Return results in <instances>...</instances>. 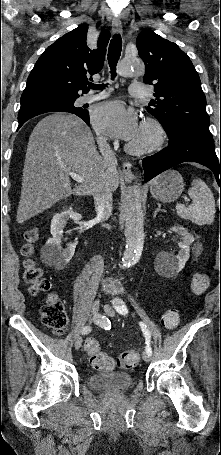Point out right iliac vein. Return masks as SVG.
Segmentation results:
<instances>
[{
    "label": "right iliac vein",
    "instance_id": "obj_1",
    "mask_svg": "<svg viewBox=\"0 0 221 455\" xmlns=\"http://www.w3.org/2000/svg\"><path fill=\"white\" fill-rule=\"evenodd\" d=\"M99 306H100V301L99 300H95L93 305H92V312L94 314H96L99 310ZM81 344H82V338L81 337H78L75 341V348L76 349H79L81 347Z\"/></svg>",
    "mask_w": 221,
    "mask_h": 455
}]
</instances>
